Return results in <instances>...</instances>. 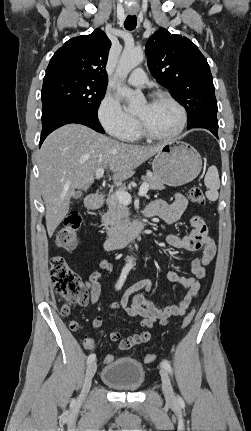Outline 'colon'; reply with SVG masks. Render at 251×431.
I'll return each mask as SVG.
<instances>
[{
    "instance_id": "obj_1",
    "label": "colon",
    "mask_w": 251,
    "mask_h": 431,
    "mask_svg": "<svg viewBox=\"0 0 251 431\" xmlns=\"http://www.w3.org/2000/svg\"><path fill=\"white\" fill-rule=\"evenodd\" d=\"M190 200L198 205H204L206 202L205 195L202 189L198 186H193L189 190ZM81 225V216L78 213L68 215L63 224L56 233V244L58 247L65 250H72L78 243V231ZM50 273L53 281L54 289L67 302L60 308V313L63 317H68L71 312V304L84 306L88 302V295L78 275L71 269L68 262L60 255H55L50 261ZM194 310L190 311L183 319L182 327L189 326L194 318ZM75 321L69 322L70 329H76ZM96 342L91 337H85L83 340L82 350L86 354H91L96 351ZM101 363L104 366H111L118 360L116 353H104L101 356ZM156 360V355L147 354L144 357L145 363H152ZM101 367V364H98Z\"/></svg>"
}]
</instances>
